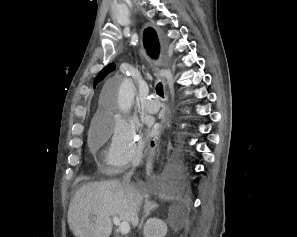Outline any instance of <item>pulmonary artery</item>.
<instances>
[{"label":"pulmonary artery","mask_w":297,"mask_h":237,"mask_svg":"<svg viewBox=\"0 0 297 237\" xmlns=\"http://www.w3.org/2000/svg\"><path fill=\"white\" fill-rule=\"evenodd\" d=\"M160 104L152 95L148 96L144 101V108L148 113H156L159 110Z\"/></svg>","instance_id":"obj_1"}]
</instances>
